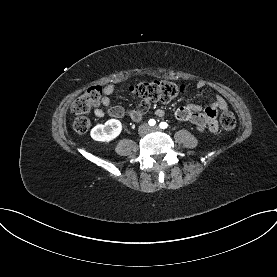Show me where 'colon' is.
I'll return each mask as SVG.
<instances>
[{"label":"colon","instance_id":"obj_1","mask_svg":"<svg viewBox=\"0 0 277 277\" xmlns=\"http://www.w3.org/2000/svg\"><path fill=\"white\" fill-rule=\"evenodd\" d=\"M185 91V85L166 80L142 82L131 87V92L147 101L168 102ZM102 98V88L94 86L85 91L72 104L71 111L76 116L72 127L77 133H85L91 125L90 119L85 116L91 109L98 106ZM220 123L226 130L236 125V119L231 111L223 110L220 114Z\"/></svg>","mask_w":277,"mask_h":277}]
</instances>
